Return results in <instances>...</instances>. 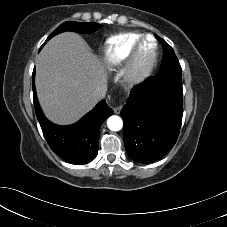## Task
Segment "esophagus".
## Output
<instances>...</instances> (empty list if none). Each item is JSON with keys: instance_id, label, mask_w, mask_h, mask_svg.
I'll return each instance as SVG.
<instances>
[{"instance_id": "obj_1", "label": "esophagus", "mask_w": 227, "mask_h": 227, "mask_svg": "<svg viewBox=\"0 0 227 227\" xmlns=\"http://www.w3.org/2000/svg\"><path fill=\"white\" fill-rule=\"evenodd\" d=\"M113 110H114V113H115V114H119L120 111H121V106H117V107H115Z\"/></svg>"}]
</instances>
